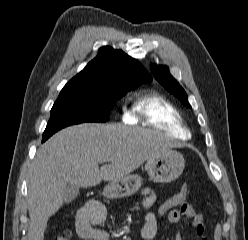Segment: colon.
<instances>
[{
	"label": "colon",
	"instance_id": "1",
	"mask_svg": "<svg viewBox=\"0 0 248 240\" xmlns=\"http://www.w3.org/2000/svg\"><path fill=\"white\" fill-rule=\"evenodd\" d=\"M187 187H183L181 191H179L178 193L170 196L169 198H167L165 201H163L158 209H157V213L159 216H164L166 215L168 212L179 208L181 205L184 204L185 199L187 197ZM69 232L68 231H64L62 232L60 235H58L55 240H69Z\"/></svg>",
	"mask_w": 248,
	"mask_h": 240
}]
</instances>
